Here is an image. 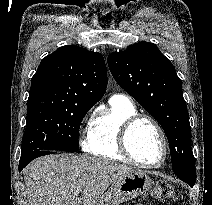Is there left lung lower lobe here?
<instances>
[{
	"mask_svg": "<svg viewBox=\"0 0 212 205\" xmlns=\"http://www.w3.org/2000/svg\"><path fill=\"white\" fill-rule=\"evenodd\" d=\"M179 179H181L182 181L186 182L187 184H189L191 187L194 186L195 181H196V177H191V176H178Z\"/></svg>",
	"mask_w": 212,
	"mask_h": 205,
	"instance_id": "left-lung-lower-lobe-1",
	"label": "left lung lower lobe"
}]
</instances>
